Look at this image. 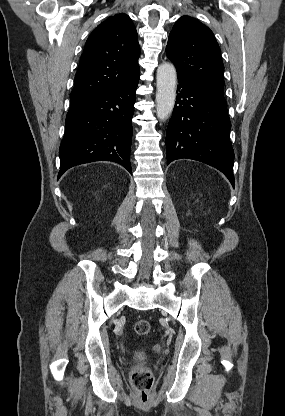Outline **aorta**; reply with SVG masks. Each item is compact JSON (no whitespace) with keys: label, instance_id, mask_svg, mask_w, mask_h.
Masks as SVG:
<instances>
[{"label":"aorta","instance_id":"1","mask_svg":"<svg viewBox=\"0 0 285 416\" xmlns=\"http://www.w3.org/2000/svg\"><path fill=\"white\" fill-rule=\"evenodd\" d=\"M157 117L165 120L171 114L176 99L177 73L174 65L163 63L157 69Z\"/></svg>","mask_w":285,"mask_h":416}]
</instances>
